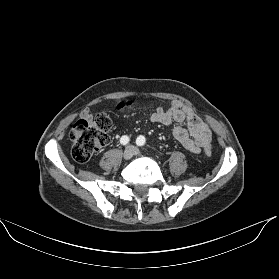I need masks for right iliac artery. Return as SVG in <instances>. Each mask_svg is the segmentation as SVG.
Listing matches in <instances>:
<instances>
[{"label":"right iliac artery","instance_id":"obj_1","mask_svg":"<svg viewBox=\"0 0 279 279\" xmlns=\"http://www.w3.org/2000/svg\"><path fill=\"white\" fill-rule=\"evenodd\" d=\"M129 141H130V139H129V137L126 136V135L122 136L121 139H120V143H121L122 145L128 144Z\"/></svg>","mask_w":279,"mask_h":279}]
</instances>
